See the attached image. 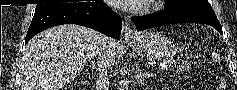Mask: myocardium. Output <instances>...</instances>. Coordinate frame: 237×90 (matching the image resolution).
<instances>
[{
	"mask_svg": "<svg viewBox=\"0 0 237 90\" xmlns=\"http://www.w3.org/2000/svg\"><path fill=\"white\" fill-rule=\"evenodd\" d=\"M132 10L135 11V12H143V9L138 8V7L132 8Z\"/></svg>",
	"mask_w": 237,
	"mask_h": 90,
	"instance_id": "f54148a6",
	"label": "myocardium"
}]
</instances>
